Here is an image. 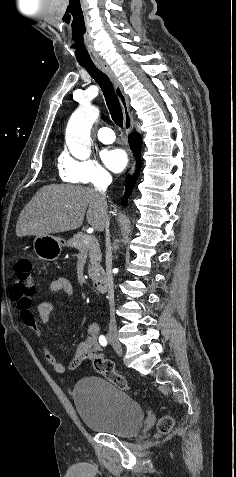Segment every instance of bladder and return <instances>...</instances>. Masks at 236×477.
Instances as JSON below:
<instances>
[{
  "instance_id": "obj_1",
  "label": "bladder",
  "mask_w": 236,
  "mask_h": 477,
  "mask_svg": "<svg viewBox=\"0 0 236 477\" xmlns=\"http://www.w3.org/2000/svg\"><path fill=\"white\" fill-rule=\"evenodd\" d=\"M73 399L82 422L92 431L130 437L142 427L144 412L140 403L107 379L80 380Z\"/></svg>"
}]
</instances>
